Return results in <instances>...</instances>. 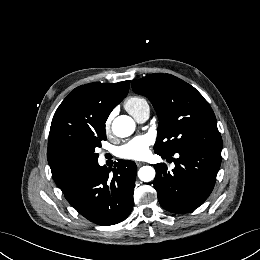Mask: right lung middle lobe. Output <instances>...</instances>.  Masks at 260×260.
I'll return each instance as SVG.
<instances>
[{"instance_id": "obj_1", "label": "right lung middle lobe", "mask_w": 260, "mask_h": 260, "mask_svg": "<svg viewBox=\"0 0 260 260\" xmlns=\"http://www.w3.org/2000/svg\"><path fill=\"white\" fill-rule=\"evenodd\" d=\"M102 140H106L105 126L85 140L82 147V159L86 169L98 164L99 155L95 153V149L101 147Z\"/></svg>"}]
</instances>
